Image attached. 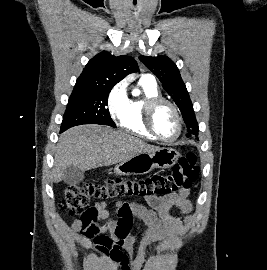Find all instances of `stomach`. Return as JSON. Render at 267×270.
Returning a JSON list of instances; mask_svg holds the SVG:
<instances>
[{
    "mask_svg": "<svg viewBox=\"0 0 267 270\" xmlns=\"http://www.w3.org/2000/svg\"><path fill=\"white\" fill-rule=\"evenodd\" d=\"M179 153L170 147H158L150 152L137 154L131 159L121 162L114 168L120 176L146 174L154 168H169L178 160Z\"/></svg>",
    "mask_w": 267,
    "mask_h": 270,
    "instance_id": "0dacf381",
    "label": "stomach"
}]
</instances>
